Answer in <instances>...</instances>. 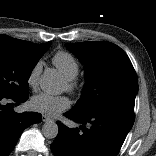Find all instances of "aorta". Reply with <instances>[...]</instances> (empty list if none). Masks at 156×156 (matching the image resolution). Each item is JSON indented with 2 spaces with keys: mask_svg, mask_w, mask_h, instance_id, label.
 Instances as JSON below:
<instances>
[{
  "mask_svg": "<svg viewBox=\"0 0 156 156\" xmlns=\"http://www.w3.org/2000/svg\"><path fill=\"white\" fill-rule=\"evenodd\" d=\"M59 85V80L52 70L45 71L40 79V87L46 93H56ZM58 131V125L52 120L46 121L42 126V134L48 139H54L57 136Z\"/></svg>",
  "mask_w": 156,
  "mask_h": 156,
  "instance_id": "obj_1",
  "label": "aorta"
}]
</instances>
